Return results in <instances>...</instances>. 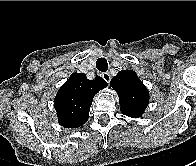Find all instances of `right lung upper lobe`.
<instances>
[{"instance_id": "obj_1", "label": "right lung upper lobe", "mask_w": 196, "mask_h": 166, "mask_svg": "<svg viewBox=\"0 0 196 166\" xmlns=\"http://www.w3.org/2000/svg\"><path fill=\"white\" fill-rule=\"evenodd\" d=\"M106 86L100 76L89 80L84 73L71 74L54 99L60 125L66 128L83 125L88 120L94 95Z\"/></svg>"}]
</instances>
